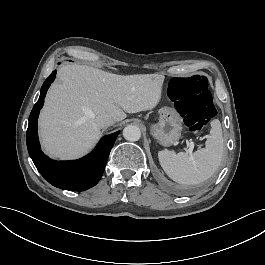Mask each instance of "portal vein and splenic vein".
<instances>
[{"instance_id":"1","label":"portal vein and splenic vein","mask_w":265,"mask_h":265,"mask_svg":"<svg viewBox=\"0 0 265 265\" xmlns=\"http://www.w3.org/2000/svg\"><path fill=\"white\" fill-rule=\"evenodd\" d=\"M187 145H189L187 152L191 155L194 149V142L187 143Z\"/></svg>"}]
</instances>
